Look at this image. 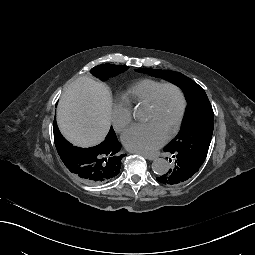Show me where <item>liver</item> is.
Masks as SVG:
<instances>
[{
  "instance_id": "6515ba94",
  "label": "liver",
  "mask_w": 255,
  "mask_h": 255,
  "mask_svg": "<svg viewBox=\"0 0 255 255\" xmlns=\"http://www.w3.org/2000/svg\"><path fill=\"white\" fill-rule=\"evenodd\" d=\"M111 94L89 77H79L63 93L57 112L64 136L82 147L99 144L111 123Z\"/></svg>"
}]
</instances>
